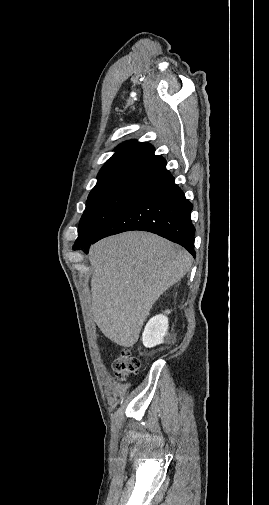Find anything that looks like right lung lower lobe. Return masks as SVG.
<instances>
[{"label":"right lung lower lobe","instance_id":"1","mask_svg":"<svg viewBox=\"0 0 269 505\" xmlns=\"http://www.w3.org/2000/svg\"><path fill=\"white\" fill-rule=\"evenodd\" d=\"M192 209V204L175 184L172 174L165 170L138 189L97 238L80 249L88 253L90 245L104 237L124 231L142 230L178 243L195 256V228L190 218Z\"/></svg>","mask_w":269,"mask_h":505}]
</instances>
